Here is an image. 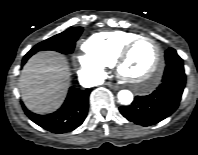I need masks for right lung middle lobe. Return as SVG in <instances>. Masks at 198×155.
Here are the masks:
<instances>
[{
  "label": "right lung middle lobe",
  "instance_id": "dd1d6c3e",
  "mask_svg": "<svg viewBox=\"0 0 198 155\" xmlns=\"http://www.w3.org/2000/svg\"><path fill=\"white\" fill-rule=\"evenodd\" d=\"M82 27H74L57 34L47 40H44L34 46L24 57L29 58L33 54L42 50H53L63 54L72 53L75 42L82 33Z\"/></svg>",
  "mask_w": 198,
  "mask_h": 155
}]
</instances>
